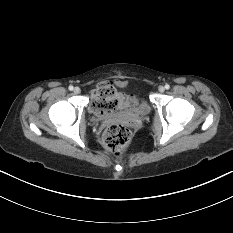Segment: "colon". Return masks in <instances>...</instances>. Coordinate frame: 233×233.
Segmentation results:
<instances>
[{
	"label": "colon",
	"mask_w": 233,
	"mask_h": 233,
	"mask_svg": "<svg viewBox=\"0 0 233 233\" xmlns=\"http://www.w3.org/2000/svg\"><path fill=\"white\" fill-rule=\"evenodd\" d=\"M119 107L118 98L113 86L104 82L95 91L93 108L101 114L115 111ZM131 140V131L122 123H112L104 131L102 142L104 147L115 155H120Z\"/></svg>",
	"instance_id": "5ec220e1"
}]
</instances>
